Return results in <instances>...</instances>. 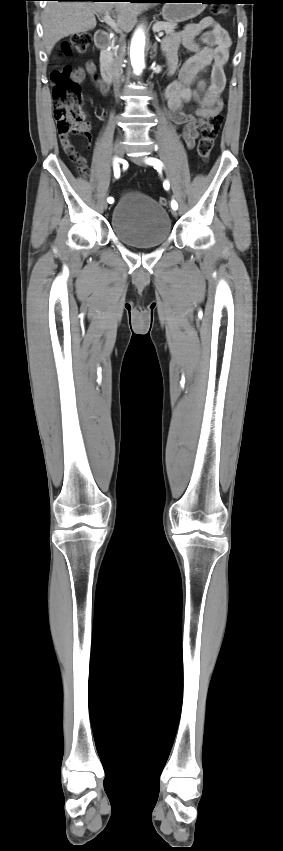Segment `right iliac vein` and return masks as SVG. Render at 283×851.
<instances>
[{
  "label": "right iliac vein",
  "mask_w": 283,
  "mask_h": 851,
  "mask_svg": "<svg viewBox=\"0 0 283 851\" xmlns=\"http://www.w3.org/2000/svg\"><path fill=\"white\" fill-rule=\"evenodd\" d=\"M123 154H124V149H123L122 145H121V144H119V143H117V144H116V146H115V155H116V157H117L118 159H121V158L123 157ZM103 207H104V209H105V210H106V209H107V207H108V203H107V201H106V200H104V202H103Z\"/></svg>",
  "instance_id": "63e3f726"
}]
</instances>
